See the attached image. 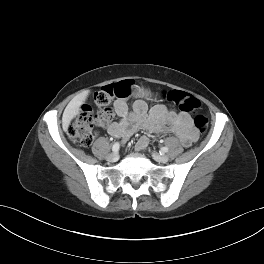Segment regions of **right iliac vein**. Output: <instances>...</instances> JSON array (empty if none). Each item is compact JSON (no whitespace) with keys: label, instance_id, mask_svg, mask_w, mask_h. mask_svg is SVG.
I'll use <instances>...</instances> for the list:
<instances>
[{"label":"right iliac vein","instance_id":"63e3f726","mask_svg":"<svg viewBox=\"0 0 264 264\" xmlns=\"http://www.w3.org/2000/svg\"><path fill=\"white\" fill-rule=\"evenodd\" d=\"M119 159L118 153H111L107 156V160L110 162H116Z\"/></svg>","mask_w":264,"mask_h":264}]
</instances>
